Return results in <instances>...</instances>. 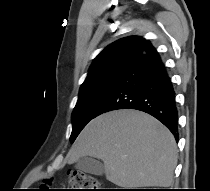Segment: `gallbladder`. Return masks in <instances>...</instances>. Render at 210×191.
Returning a JSON list of instances; mask_svg holds the SVG:
<instances>
[{"label":"gallbladder","instance_id":"bac80fb5","mask_svg":"<svg viewBox=\"0 0 210 191\" xmlns=\"http://www.w3.org/2000/svg\"><path fill=\"white\" fill-rule=\"evenodd\" d=\"M75 168L94 175H102L104 173L103 164L90 156L81 157L76 162Z\"/></svg>","mask_w":210,"mask_h":191}]
</instances>
